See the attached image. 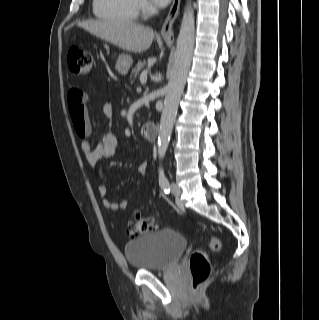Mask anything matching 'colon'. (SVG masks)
Listing matches in <instances>:
<instances>
[{
  "mask_svg": "<svg viewBox=\"0 0 319 320\" xmlns=\"http://www.w3.org/2000/svg\"><path fill=\"white\" fill-rule=\"evenodd\" d=\"M68 67L75 75H87L90 73L93 56L90 52L73 47L68 52ZM76 134L80 138H84L89 134L87 128L83 125L74 126ZM159 227V218L156 214L148 217L135 216L129 223L128 234L136 237L142 233L154 231ZM208 249L216 252L221 248L220 239L210 234L208 236ZM189 267L192 276L193 289L197 290L200 285L209 277L212 267L208 258V254L204 250H196L190 257Z\"/></svg>",
  "mask_w": 319,
  "mask_h": 320,
  "instance_id": "colon-1",
  "label": "colon"
}]
</instances>
